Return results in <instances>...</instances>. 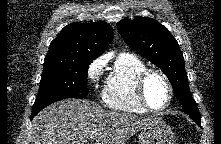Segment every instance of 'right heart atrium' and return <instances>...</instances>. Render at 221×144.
<instances>
[{
  "label": "right heart atrium",
  "mask_w": 221,
  "mask_h": 144,
  "mask_svg": "<svg viewBox=\"0 0 221 144\" xmlns=\"http://www.w3.org/2000/svg\"><path fill=\"white\" fill-rule=\"evenodd\" d=\"M105 67V60L102 57L95 59L88 67L87 78L93 86H97L101 80Z\"/></svg>",
  "instance_id": "right-heart-atrium-1"
}]
</instances>
